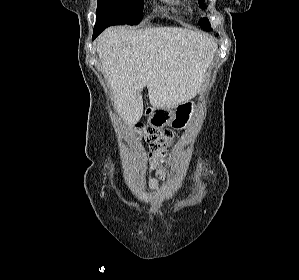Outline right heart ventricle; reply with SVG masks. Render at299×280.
<instances>
[{
  "label": "right heart ventricle",
  "mask_w": 299,
  "mask_h": 280,
  "mask_svg": "<svg viewBox=\"0 0 299 280\" xmlns=\"http://www.w3.org/2000/svg\"><path fill=\"white\" fill-rule=\"evenodd\" d=\"M163 1H165L166 3H173L174 2V0H163Z\"/></svg>",
  "instance_id": "e07e8e85"
}]
</instances>
